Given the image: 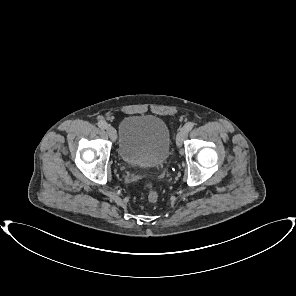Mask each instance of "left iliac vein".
Wrapping results in <instances>:
<instances>
[{
	"mask_svg": "<svg viewBox=\"0 0 296 296\" xmlns=\"http://www.w3.org/2000/svg\"><path fill=\"white\" fill-rule=\"evenodd\" d=\"M188 131L185 128H182L176 136V144L180 148L183 144V141L187 137Z\"/></svg>",
	"mask_w": 296,
	"mask_h": 296,
	"instance_id": "obj_1",
	"label": "left iliac vein"
}]
</instances>
